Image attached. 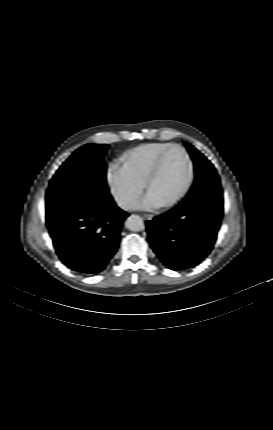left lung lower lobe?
I'll list each match as a JSON object with an SVG mask.
<instances>
[{"label": "left lung lower lobe", "mask_w": 273, "mask_h": 430, "mask_svg": "<svg viewBox=\"0 0 273 430\" xmlns=\"http://www.w3.org/2000/svg\"><path fill=\"white\" fill-rule=\"evenodd\" d=\"M222 215L220 181L206 180L172 210L146 222L148 241L168 268H192L211 252Z\"/></svg>", "instance_id": "1"}]
</instances>
